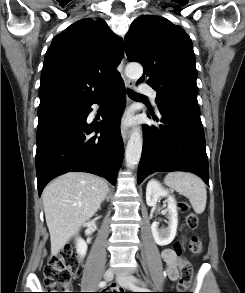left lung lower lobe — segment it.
<instances>
[{"label": "left lung lower lobe", "instance_id": "0a47b994", "mask_svg": "<svg viewBox=\"0 0 245 293\" xmlns=\"http://www.w3.org/2000/svg\"><path fill=\"white\" fill-rule=\"evenodd\" d=\"M158 118L153 111L147 116L162 124L143 125L144 142L137 182L157 172L186 171L198 175L209 185L205 136L199 110L177 103L158 104Z\"/></svg>", "mask_w": 245, "mask_h": 293}]
</instances>
